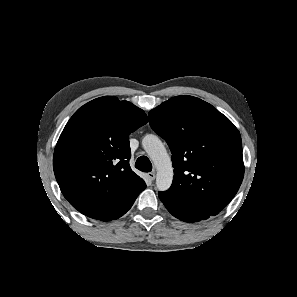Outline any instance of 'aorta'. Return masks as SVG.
<instances>
[{"label": "aorta", "mask_w": 297, "mask_h": 297, "mask_svg": "<svg viewBox=\"0 0 297 297\" xmlns=\"http://www.w3.org/2000/svg\"><path fill=\"white\" fill-rule=\"evenodd\" d=\"M142 146L157 170L156 186L158 190H168L173 180V167L163 143L156 135L148 134L142 139Z\"/></svg>", "instance_id": "762f6f07"}]
</instances>
